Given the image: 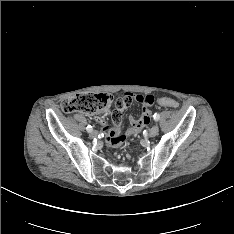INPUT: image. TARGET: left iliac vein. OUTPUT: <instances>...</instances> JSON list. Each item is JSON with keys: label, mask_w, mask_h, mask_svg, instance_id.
I'll list each match as a JSON object with an SVG mask.
<instances>
[{"label": "left iliac vein", "mask_w": 234, "mask_h": 234, "mask_svg": "<svg viewBox=\"0 0 234 234\" xmlns=\"http://www.w3.org/2000/svg\"><path fill=\"white\" fill-rule=\"evenodd\" d=\"M159 133V127L157 124L153 125L152 128L149 130V136L150 137H155Z\"/></svg>", "instance_id": "obj_1"}]
</instances>
